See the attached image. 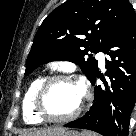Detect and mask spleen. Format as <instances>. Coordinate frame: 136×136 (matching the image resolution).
I'll use <instances>...</instances> for the list:
<instances>
[{
    "mask_svg": "<svg viewBox=\"0 0 136 136\" xmlns=\"http://www.w3.org/2000/svg\"><path fill=\"white\" fill-rule=\"evenodd\" d=\"M81 136H97V135L94 134V133H91V132H83V133L81 134Z\"/></svg>",
    "mask_w": 136,
    "mask_h": 136,
    "instance_id": "obj_1",
    "label": "spleen"
}]
</instances>
